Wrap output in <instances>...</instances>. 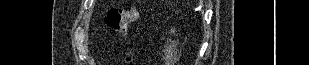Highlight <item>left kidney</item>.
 Returning <instances> with one entry per match:
<instances>
[{"label":"left kidney","instance_id":"left-kidney-1","mask_svg":"<svg viewBox=\"0 0 309 65\" xmlns=\"http://www.w3.org/2000/svg\"><path fill=\"white\" fill-rule=\"evenodd\" d=\"M177 44L178 41L169 39L165 45V49L163 50L164 52L163 59L165 60L167 65L174 62L176 58Z\"/></svg>","mask_w":309,"mask_h":65}]
</instances>
